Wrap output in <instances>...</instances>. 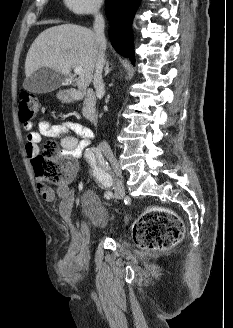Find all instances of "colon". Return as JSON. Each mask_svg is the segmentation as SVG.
<instances>
[{
	"label": "colon",
	"mask_w": 233,
	"mask_h": 328,
	"mask_svg": "<svg viewBox=\"0 0 233 328\" xmlns=\"http://www.w3.org/2000/svg\"><path fill=\"white\" fill-rule=\"evenodd\" d=\"M18 104L22 123H30L42 112L38 98L33 93L21 91ZM32 163L36 175L54 185L63 183L73 171L71 164L61 163L57 145L52 141L44 144ZM183 229V223L175 212L166 208H151L144 211L135 222L133 239L143 250L164 251L180 242Z\"/></svg>",
	"instance_id": "1"
}]
</instances>
